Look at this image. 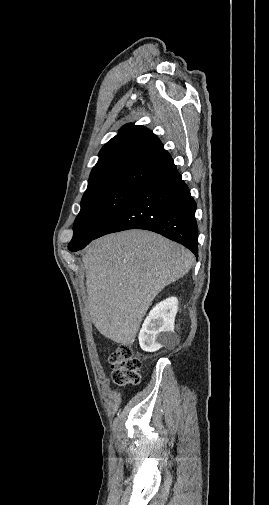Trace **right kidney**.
<instances>
[{
	"mask_svg": "<svg viewBox=\"0 0 269 505\" xmlns=\"http://www.w3.org/2000/svg\"><path fill=\"white\" fill-rule=\"evenodd\" d=\"M178 311V300L170 297L158 303L144 320L139 333L142 350L154 352L175 339L174 322Z\"/></svg>",
	"mask_w": 269,
	"mask_h": 505,
	"instance_id": "ca27d5eb",
	"label": "right kidney"
}]
</instances>
